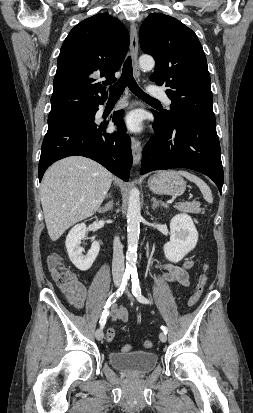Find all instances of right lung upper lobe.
Listing matches in <instances>:
<instances>
[{
    "label": "right lung upper lobe",
    "instance_id": "obj_1",
    "mask_svg": "<svg viewBox=\"0 0 253 413\" xmlns=\"http://www.w3.org/2000/svg\"><path fill=\"white\" fill-rule=\"evenodd\" d=\"M129 46V33L116 18L103 13L76 25L57 60L49 117L93 108L107 99L104 85L116 81ZM104 78L105 81L97 82Z\"/></svg>",
    "mask_w": 253,
    "mask_h": 413
}]
</instances>
